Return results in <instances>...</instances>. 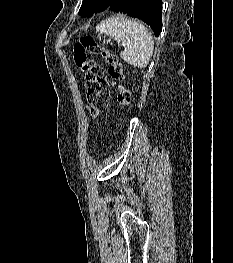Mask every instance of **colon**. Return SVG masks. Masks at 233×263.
I'll list each match as a JSON object with an SVG mask.
<instances>
[{
    "label": "colon",
    "instance_id": "5ec220e1",
    "mask_svg": "<svg viewBox=\"0 0 233 263\" xmlns=\"http://www.w3.org/2000/svg\"><path fill=\"white\" fill-rule=\"evenodd\" d=\"M74 62L86 79L87 110L93 117L99 116L108 107L109 86L107 77L118 82L117 100L127 107L132 96L124 84L123 68L118 57L100 46L91 36L83 35L73 47ZM90 54H99L108 63L106 70L89 58Z\"/></svg>",
    "mask_w": 233,
    "mask_h": 263
}]
</instances>
